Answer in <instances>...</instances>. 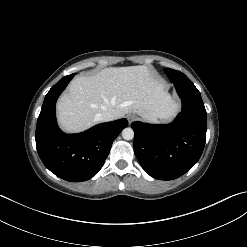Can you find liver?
<instances>
[{"instance_id":"liver-1","label":"liver","mask_w":247,"mask_h":247,"mask_svg":"<svg viewBox=\"0 0 247 247\" xmlns=\"http://www.w3.org/2000/svg\"><path fill=\"white\" fill-rule=\"evenodd\" d=\"M177 110L164 83L139 65L105 68L75 78L58 101L57 117L64 131L77 133L97 123L96 116L103 112H111L115 119L135 113L155 122Z\"/></svg>"}]
</instances>
